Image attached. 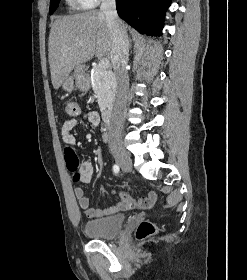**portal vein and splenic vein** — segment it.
Listing matches in <instances>:
<instances>
[{
	"mask_svg": "<svg viewBox=\"0 0 247 280\" xmlns=\"http://www.w3.org/2000/svg\"><path fill=\"white\" fill-rule=\"evenodd\" d=\"M98 66L101 69H107L109 67V60L107 58L100 59Z\"/></svg>",
	"mask_w": 247,
	"mask_h": 280,
	"instance_id": "1",
	"label": "portal vein and splenic vein"
}]
</instances>
